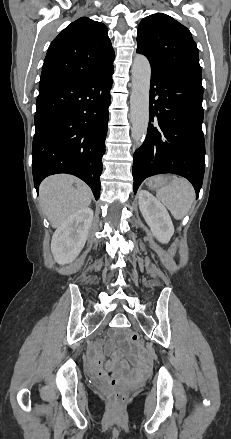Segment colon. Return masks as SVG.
Segmentation results:
<instances>
[{
  "label": "colon",
  "instance_id": "colon-1",
  "mask_svg": "<svg viewBox=\"0 0 231 439\" xmlns=\"http://www.w3.org/2000/svg\"><path fill=\"white\" fill-rule=\"evenodd\" d=\"M129 337L133 344L139 345L141 343V337L137 332H132ZM108 397L112 404H121L126 399L127 391L119 379L112 378L110 380Z\"/></svg>",
  "mask_w": 231,
  "mask_h": 439
}]
</instances>
